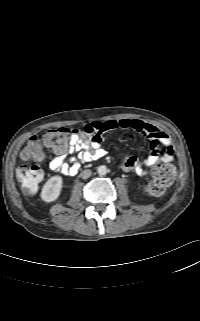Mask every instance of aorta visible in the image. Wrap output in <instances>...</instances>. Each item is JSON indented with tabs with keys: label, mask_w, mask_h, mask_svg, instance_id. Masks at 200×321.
I'll return each mask as SVG.
<instances>
[{
	"label": "aorta",
	"mask_w": 200,
	"mask_h": 321,
	"mask_svg": "<svg viewBox=\"0 0 200 321\" xmlns=\"http://www.w3.org/2000/svg\"><path fill=\"white\" fill-rule=\"evenodd\" d=\"M97 172L100 176H103L107 173V168L106 166L102 165V166H99L98 169H97Z\"/></svg>",
	"instance_id": "762f6f07"
}]
</instances>
